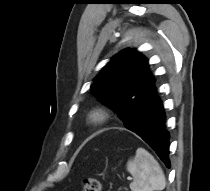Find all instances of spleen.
Listing matches in <instances>:
<instances>
[{
    "label": "spleen",
    "instance_id": "3e777b00",
    "mask_svg": "<svg viewBox=\"0 0 210 191\" xmlns=\"http://www.w3.org/2000/svg\"><path fill=\"white\" fill-rule=\"evenodd\" d=\"M127 171L133 176L132 191H161L166 186L162 168L144 148H138L136 155L127 163Z\"/></svg>",
    "mask_w": 210,
    "mask_h": 191
}]
</instances>
